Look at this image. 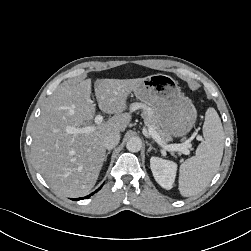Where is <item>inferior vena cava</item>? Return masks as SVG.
I'll return each instance as SVG.
<instances>
[{
  "mask_svg": "<svg viewBox=\"0 0 251 251\" xmlns=\"http://www.w3.org/2000/svg\"><path fill=\"white\" fill-rule=\"evenodd\" d=\"M119 141H120V134L115 133V134L106 136L104 138L103 144L106 149L111 150L118 145Z\"/></svg>",
  "mask_w": 251,
  "mask_h": 251,
  "instance_id": "obj_1",
  "label": "inferior vena cava"
}]
</instances>
